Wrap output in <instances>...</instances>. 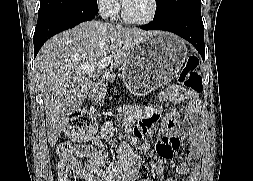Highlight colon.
Listing matches in <instances>:
<instances>
[{
    "label": "colon",
    "instance_id": "5ec220e1",
    "mask_svg": "<svg viewBox=\"0 0 253 181\" xmlns=\"http://www.w3.org/2000/svg\"><path fill=\"white\" fill-rule=\"evenodd\" d=\"M180 83L190 92L198 93L203 88V82L198 73V61L195 57L188 60L182 73ZM95 129L94 118L86 111L76 112L67 122L65 136L69 140H83ZM63 160L60 165L59 181H89L79 164L70 158L69 144L61 146Z\"/></svg>",
    "mask_w": 253,
    "mask_h": 181
}]
</instances>
